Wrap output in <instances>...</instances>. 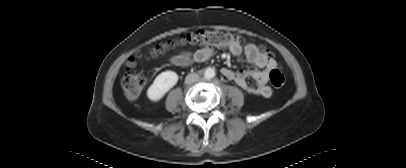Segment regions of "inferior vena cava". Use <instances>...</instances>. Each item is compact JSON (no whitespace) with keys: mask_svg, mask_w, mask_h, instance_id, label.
Instances as JSON below:
<instances>
[{"mask_svg":"<svg viewBox=\"0 0 406 168\" xmlns=\"http://www.w3.org/2000/svg\"><path fill=\"white\" fill-rule=\"evenodd\" d=\"M199 80V75L196 73H191L186 76L185 83L192 84Z\"/></svg>","mask_w":406,"mask_h":168,"instance_id":"obj_1","label":"inferior vena cava"}]
</instances>
